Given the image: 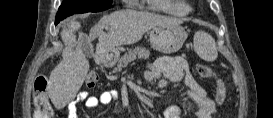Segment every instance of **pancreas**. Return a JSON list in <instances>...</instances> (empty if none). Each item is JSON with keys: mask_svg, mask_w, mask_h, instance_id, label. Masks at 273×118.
Segmentation results:
<instances>
[{"mask_svg": "<svg viewBox=\"0 0 273 118\" xmlns=\"http://www.w3.org/2000/svg\"><path fill=\"white\" fill-rule=\"evenodd\" d=\"M150 55L149 50L142 47H136L133 50H129L128 53L124 54L118 61L117 67L114 69L115 72L120 71L126 67L128 63L134 61L136 58H148Z\"/></svg>", "mask_w": 273, "mask_h": 118, "instance_id": "cf45deb5", "label": "pancreas"}]
</instances>
